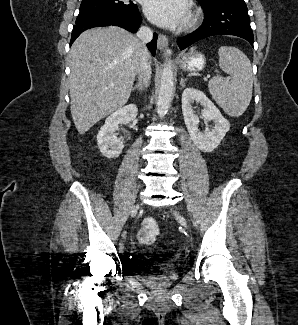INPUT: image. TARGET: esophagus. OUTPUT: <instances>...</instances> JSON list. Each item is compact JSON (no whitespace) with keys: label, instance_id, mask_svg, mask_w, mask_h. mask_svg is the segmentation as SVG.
Here are the masks:
<instances>
[{"label":"esophagus","instance_id":"esophagus-1","mask_svg":"<svg viewBox=\"0 0 298 325\" xmlns=\"http://www.w3.org/2000/svg\"><path fill=\"white\" fill-rule=\"evenodd\" d=\"M157 46L165 57L172 54V50L169 48L168 38L165 35L160 34L158 36Z\"/></svg>","mask_w":298,"mask_h":325}]
</instances>
